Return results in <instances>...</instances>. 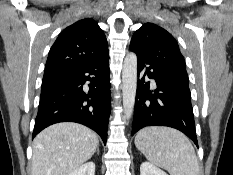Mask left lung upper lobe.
I'll return each instance as SVG.
<instances>
[{
  "label": "left lung upper lobe",
  "instance_id": "left-lung-upper-lobe-1",
  "mask_svg": "<svg viewBox=\"0 0 233 175\" xmlns=\"http://www.w3.org/2000/svg\"><path fill=\"white\" fill-rule=\"evenodd\" d=\"M130 46L153 65L187 76L185 60L174 37L162 27L145 23L131 39Z\"/></svg>",
  "mask_w": 233,
  "mask_h": 175
}]
</instances>
